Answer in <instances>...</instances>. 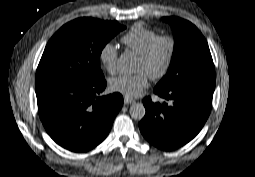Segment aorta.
<instances>
[{
	"label": "aorta",
	"mask_w": 255,
	"mask_h": 177,
	"mask_svg": "<svg viewBox=\"0 0 255 177\" xmlns=\"http://www.w3.org/2000/svg\"><path fill=\"white\" fill-rule=\"evenodd\" d=\"M119 71L127 73L134 70V60L130 53L124 52L120 55L117 61ZM130 116L134 120H141L146 113L145 107L141 103H133L129 109Z\"/></svg>",
	"instance_id": "aorta-1"
}]
</instances>
